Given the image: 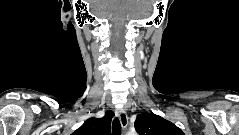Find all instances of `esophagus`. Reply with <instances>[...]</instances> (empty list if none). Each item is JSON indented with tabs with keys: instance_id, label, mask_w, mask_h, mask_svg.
Here are the masks:
<instances>
[{
	"instance_id": "34e87169",
	"label": "esophagus",
	"mask_w": 239,
	"mask_h": 135,
	"mask_svg": "<svg viewBox=\"0 0 239 135\" xmlns=\"http://www.w3.org/2000/svg\"><path fill=\"white\" fill-rule=\"evenodd\" d=\"M118 116H119V120H120L122 128L125 129L128 124V117H127L126 112L124 110H120L118 113Z\"/></svg>"
}]
</instances>
